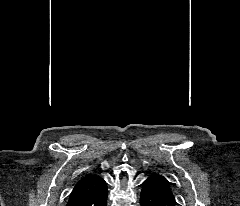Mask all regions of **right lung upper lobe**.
<instances>
[{"label": "right lung upper lobe", "instance_id": "1", "mask_svg": "<svg viewBox=\"0 0 240 206\" xmlns=\"http://www.w3.org/2000/svg\"><path fill=\"white\" fill-rule=\"evenodd\" d=\"M104 184H106V182L96 175L89 174L84 176L75 185L67 206H71L82 199L90 197L91 195L95 194Z\"/></svg>", "mask_w": 240, "mask_h": 206}]
</instances>
